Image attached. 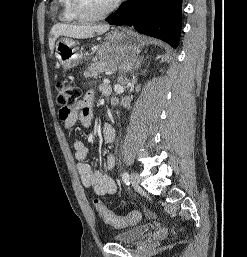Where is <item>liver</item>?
<instances>
[{"label":"liver","instance_id":"6515ba94","mask_svg":"<svg viewBox=\"0 0 247 257\" xmlns=\"http://www.w3.org/2000/svg\"><path fill=\"white\" fill-rule=\"evenodd\" d=\"M109 25H70L57 23L50 31L51 37L49 38V47L53 51L55 41L59 36L85 39L91 38L94 34H103L109 30Z\"/></svg>","mask_w":247,"mask_h":257}]
</instances>
